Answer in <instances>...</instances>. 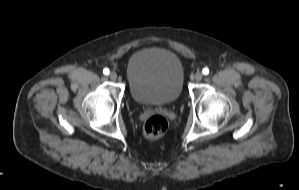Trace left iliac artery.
<instances>
[{"instance_id": "44dca946", "label": "left iliac artery", "mask_w": 299, "mask_h": 190, "mask_svg": "<svg viewBox=\"0 0 299 190\" xmlns=\"http://www.w3.org/2000/svg\"><path fill=\"white\" fill-rule=\"evenodd\" d=\"M202 73H203L204 75L209 74V69H208L207 67H205V68L202 70Z\"/></svg>"}]
</instances>
